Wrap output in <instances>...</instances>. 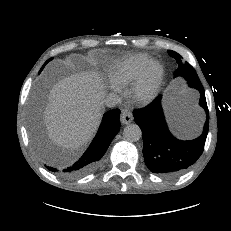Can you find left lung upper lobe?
Masks as SVG:
<instances>
[{"instance_id":"1","label":"left lung upper lobe","mask_w":231,"mask_h":231,"mask_svg":"<svg viewBox=\"0 0 231 231\" xmlns=\"http://www.w3.org/2000/svg\"><path fill=\"white\" fill-rule=\"evenodd\" d=\"M168 54L173 57L179 65L174 73V77L182 76L188 81V83L200 82L194 68L188 62H184L177 52L169 50Z\"/></svg>"}]
</instances>
